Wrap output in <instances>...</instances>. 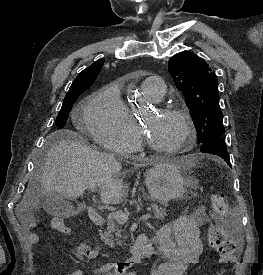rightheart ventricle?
I'll return each instance as SVG.
<instances>
[{"label":"right heart ventricle","instance_id":"e07e8e85","mask_svg":"<svg viewBox=\"0 0 263 275\" xmlns=\"http://www.w3.org/2000/svg\"><path fill=\"white\" fill-rule=\"evenodd\" d=\"M146 93V92H145ZM147 94V93H146ZM147 96H148V94H147ZM149 97V96H148ZM150 98V97H149ZM128 112H129V114H130V116H131V118L133 119V121L135 122V124H137L136 123V120H135V118L133 117V115L130 113V111L128 110Z\"/></svg>","mask_w":263,"mask_h":275}]
</instances>
